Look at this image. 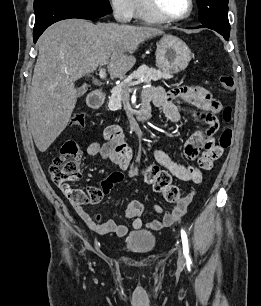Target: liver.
Returning <instances> with one entry per match:
<instances>
[{"mask_svg":"<svg viewBox=\"0 0 261 306\" xmlns=\"http://www.w3.org/2000/svg\"><path fill=\"white\" fill-rule=\"evenodd\" d=\"M163 34L146 26L67 19L51 25L39 38L28 100V129L45 152L66 128L76 105L75 81L107 66L123 78L134 66V52L145 40Z\"/></svg>","mask_w":261,"mask_h":306,"instance_id":"liver-1","label":"liver"}]
</instances>
